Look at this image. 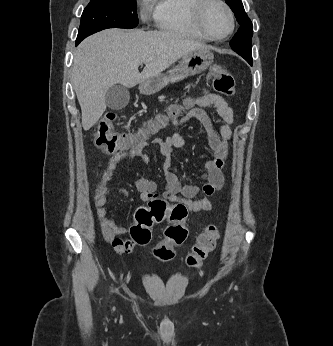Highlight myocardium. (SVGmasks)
Wrapping results in <instances>:
<instances>
[{"label": "myocardium", "mask_w": 333, "mask_h": 346, "mask_svg": "<svg viewBox=\"0 0 333 346\" xmlns=\"http://www.w3.org/2000/svg\"><path fill=\"white\" fill-rule=\"evenodd\" d=\"M211 4H219L226 11L230 20V29L222 36L212 34L205 24V12ZM194 19L203 34L214 40H224L232 35L235 29L234 14L229 5L224 0H197L194 5Z\"/></svg>", "instance_id": "myocardium-1"}]
</instances>
